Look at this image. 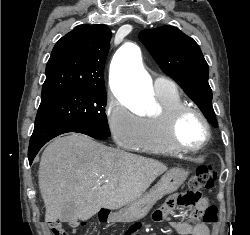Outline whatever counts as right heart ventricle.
<instances>
[{"label": "right heart ventricle", "mask_w": 250, "mask_h": 235, "mask_svg": "<svg viewBox=\"0 0 250 235\" xmlns=\"http://www.w3.org/2000/svg\"><path fill=\"white\" fill-rule=\"evenodd\" d=\"M159 111L143 118V136L136 148L141 152L175 155L179 151L171 144L167 135L168 114L183 104L177 89L168 92L155 91Z\"/></svg>", "instance_id": "1"}]
</instances>
